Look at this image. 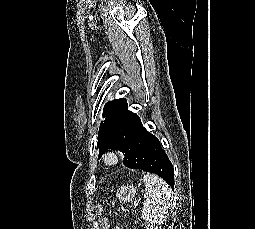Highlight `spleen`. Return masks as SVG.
<instances>
[{"label":"spleen","mask_w":255,"mask_h":229,"mask_svg":"<svg viewBox=\"0 0 255 229\" xmlns=\"http://www.w3.org/2000/svg\"><path fill=\"white\" fill-rule=\"evenodd\" d=\"M146 199L143 204L142 217L152 224L164 221L170 207L171 189L157 175L147 173L143 177Z\"/></svg>","instance_id":"obj_1"}]
</instances>
